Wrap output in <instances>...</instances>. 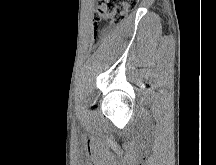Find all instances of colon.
Instances as JSON below:
<instances>
[{
  "instance_id": "colon-1",
  "label": "colon",
  "mask_w": 216,
  "mask_h": 165,
  "mask_svg": "<svg viewBox=\"0 0 216 165\" xmlns=\"http://www.w3.org/2000/svg\"><path fill=\"white\" fill-rule=\"evenodd\" d=\"M95 22L116 23L122 21L129 10L136 7L139 0H98Z\"/></svg>"
}]
</instances>
